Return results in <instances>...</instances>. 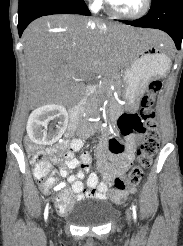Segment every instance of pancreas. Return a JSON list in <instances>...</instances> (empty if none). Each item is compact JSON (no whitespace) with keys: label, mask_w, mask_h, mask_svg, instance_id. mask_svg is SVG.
Listing matches in <instances>:
<instances>
[{"label":"pancreas","mask_w":183,"mask_h":246,"mask_svg":"<svg viewBox=\"0 0 183 246\" xmlns=\"http://www.w3.org/2000/svg\"><path fill=\"white\" fill-rule=\"evenodd\" d=\"M101 88H102V86H101ZM97 97H98V92H95L93 95L90 96L89 104H88L90 107H96L97 106V101H98Z\"/></svg>","instance_id":"cf45deb5"}]
</instances>
